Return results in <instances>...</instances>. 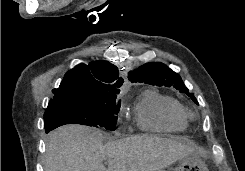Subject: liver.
Returning a JSON list of instances; mask_svg holds the SVG:
<instances>
[{"instance_id":"liver-1","label":"liver","mask_w":245,"mask_h":171,"mask_svg":"<svg viewBox=\"0 0 245 171\" xmlns=\"http://www.w3.org/2000/svg\"><path fill=\"white\" fill-rule=\"evenodd\" d=\"M102 132L65 125L49 134L45 171H160L197 151L196 146L155 136L103 143ZM108 158V168L103 161Z\"/></svg>"}]
</instances>
